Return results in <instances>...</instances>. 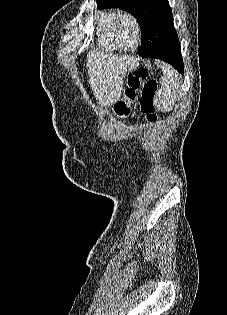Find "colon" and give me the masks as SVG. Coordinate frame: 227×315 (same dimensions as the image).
Segmentation results:
<instances>
[{
  "mask_svg": "<svg viewBox=\"0 0 227 315\" xmlns=\"http://www.w3.org/2000/svg\"><path fill=\"white\" fill-rule=\"evenodd\" d=\"M157 89L156 79L149 78V73L145 68L139 67L132 70L127 76L123 97L117 101L115 111L121 116L127 114L130 103L135 101L138 91H140V109L145 114L148 123H155L157 120L155 110Z\"/></svg>",
  "mask_w": 227,
  "mask_h": 315,
  "instance_id": "1",
  "label": "colon"
}]
</instances>
